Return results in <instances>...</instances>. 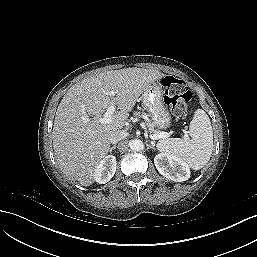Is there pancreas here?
<instances>
[{"label":"pancreas","instance_id":"cf45deb5","mask_svg":"<svg viewBox=\"0 0 257 257\" xmlns=\"http://www.w3.org/2000/svg\"><path fill=\"white\" fill-rule=\"evenodd\" d=\"M134 116L135 117L146 116V114L145 113L141 114L140 112H135ZM146 126L148 127L150 132H153L154 134H159V131L154 129V125H153V123L149 119L146 120Z\"/></svg>","mask_w":257,"mask_h":257}]
</instances>
